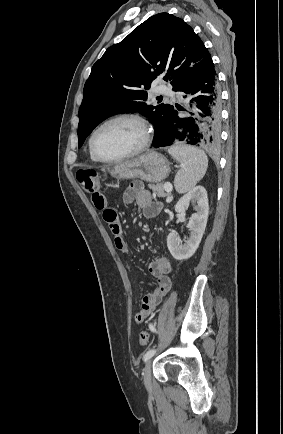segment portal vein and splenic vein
<instances>
[{
    "label": "portal vein and splenic vein",
    "mask_w": 283,
    "mask_h": 434,
    "mask_svg": "<svg viewBox=\"0 0 283 434\" xmlns=\"http://www.w3.org/2000/svg\"><path fill=\"white\" fill-rule=\"evenodd\" d=\"M164 188H165L166 192H171L173 189V187L170 183H165Z\"/></svg>",
    "instance_id": "portal-vein-and-splenic-vein-1"
}]
</instances>
